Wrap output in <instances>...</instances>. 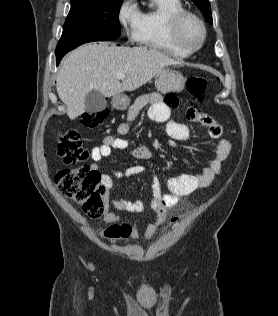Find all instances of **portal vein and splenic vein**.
I'll return each mask as SVG.
<instances>
[{
	"mask_svg": "<svg viewBox=\"0 0 278 316\" xmlns=\"http://www.w3.org/2000/svg\"><path fill=\"white\" fill-rule=\"evenodd\" d=\"M117 78H118V79H124V78H125V75H124V74H118V75H117Z\"/></svg>",
	"mask_w": 278,
	"mask_h": 316,
	"instance_id": "1",
	"label": "portal vein and splenic vein"
}]
</instances>
